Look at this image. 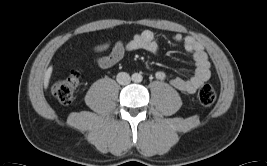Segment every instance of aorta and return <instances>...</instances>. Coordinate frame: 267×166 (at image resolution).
I'll return each mask as SVG.
<instances>
[{
  "mask_svg": "<svg viewBox=\"0 0 267 166\" xmlns=\"http://www.w3.org/2000/svg\"><path fill=\"white\" fill-rule=\"evenodd\" d=\"M133 80L136 82H139L142 80V76L140 74H134L133 75Z\"/></svg>",
  "mask_w": 267,
  "mask_h": 166,
  "instance_id": "obj_1",
  "label": "aorta"
}]
</instances>
